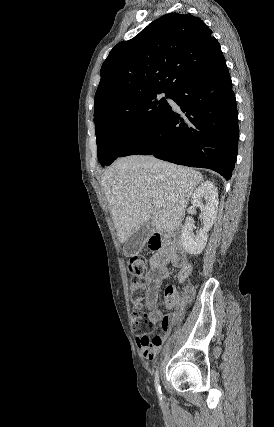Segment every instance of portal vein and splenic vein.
Masks as SVG:
<instances>
[{"mask_svg": "<svg viewBox=\"0 0 274 427\" xmlns=\"http://www.w3.org/2000/svg\"><path fill=\"white\" fill-rule=\"evenodd\" d=\"M155 206H157V208H160L161 202H155Z\"/></svg>", "mask_w": 274, "mask_h": 427, "instance_id": "18ae733b", "label": "portal vein and splenic vein"}]
</instances>
